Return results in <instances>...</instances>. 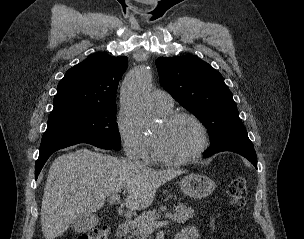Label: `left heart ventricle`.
Returning <instances> with one entry per match:
<instances>
[{"mask_svg":"<svg viewBox=\"0 0 304 239\" xmlns=\"http://www.w3.org/2000/svg\"><path fill=\"white\" fill-rule=\"evenodd\" d=\"M160 154L169 158L186 157L200 145L198 127L189 119L181 118L169 125L162 121L152 132Z\"/></svg>","mask_w":304,"mask_h":239,"instance_id":"1","label":"left heart ventricle"}]
</instances>
